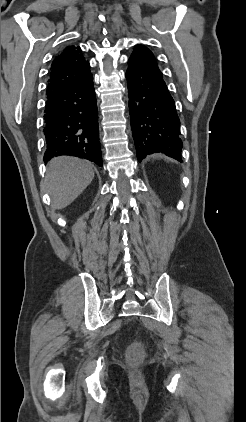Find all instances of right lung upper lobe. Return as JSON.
Segmentation results:
<instances>
[{
    "label": "right lung upper lobe",
    "instance_id": "obj_1",
    "mask_svg": "<svg viewBox=\"0 0 246 422\" xmlns=\"http://www.w3.org/2000/svg\"><path fill=\"white\" fill-rule=\"evenodd\" d=\"M81 53L79 46L70 45L54 58L48 80L47 96L78 83L91 74L89 62Z\"/></svg>",
    "mask_w": 246,
    "mask_h": 422
}]
</instances>
